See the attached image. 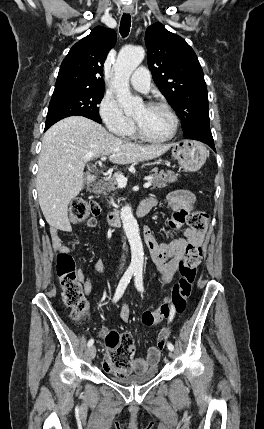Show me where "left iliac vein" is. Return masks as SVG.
I'll list each match as a JSON object with an SVG mask.
<instances>
[{
  "instance_id": "1",
  "label": "left iliac vein",
  "mask_w": 264,
  "mask_h": 429,
  "mask_svg": "<svg viewBox=\"0 0 264 429\" xmlns=\"http://www.w3.org/2000/svg\"><path fill=\"white\" fill-rule=\"evenodd\" d=\"M169 357H170V358H173V357H174V354H173L172 350H170V351H169Z\"/></svg>"
}]
</instances>
